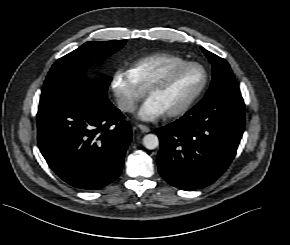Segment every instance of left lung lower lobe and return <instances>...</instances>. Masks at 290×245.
<instances>
[{
  "label": "left lung lower lobe",
  "mask_w": 290,
  "mask_h": 245,
  "mask_svg": "<svg viewBox=\"0 0 290 245\" xmlns=\"http://www.w3.org/2000/svg\"><path fill=\"white\" fill-rule=\"evenodd\" d=\"M244 127L241 95L201 101L179 120L156 130L160 175L187 191L212 184L235 157Z\"/></svg>",
  "instance_id": "obj_1"
}]
</instances>
